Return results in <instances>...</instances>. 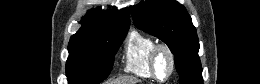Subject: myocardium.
<instances>
[{"label":"myocardium","instance_id":"obj_1","mask_svg":"<svg viewBox=\"0 0 260 84\" xmlns=\"http://www.w3.org/2000/svg\"><path fill=\"white\" fill-rule=\"evenodd\" d=\"M162 54H165L169 60V70L168 73L163 78L159 77L157 73V61L159 56ZM175 67H176L175 56L171 48L164 43L156 44V46L152 50L151 58H150V70L153 78L159 82H165L171 78V76L175 71Z\"/></svg>","mask_w":260,"mask_h":84}]
</instances>
